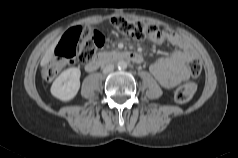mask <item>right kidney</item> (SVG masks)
Instances as JSON below:
<instances>
[{
	"label": "right kidney",
	"mask_w": 238,
	"mask_h": 158,
	"mask_svg": "<svg viewBox=\"0 0 238 158\" xmlns=\"http://www.w3.org/2000/svg\"><path fill=\"white\" fill-rule=\"evenodd\" d=\"M80 75L79 68L66 69L53 82L51 94L61 101L72 100L80 88Z\"/></svg>",
	"instance_id": "right-kidney-1"
}]
</instances>
